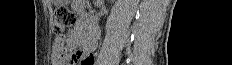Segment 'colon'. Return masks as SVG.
Returning <instances> with one entry per match:
<instances>
[{
  "label": "colon",
  "mask_w": 232,
  "mask_h": 65,
  "mask_svg": "<svg viewBox=\"0 0 232 65\" xmlns=\"http://www.w3.org/2000/svg\"><path fill=\"white\" fill-rule=\"evenodd\" d=\"M75 23L76 17L68 8L60 7L56 10L54 17V33L57 36L58 44L56 56L59 60L68 61L69 65H92L94 61L92 54L80 50L69 53L63 46L64 32Z\"/></svg>",
  "instance_id": "obj_1"
}]
</instances>
